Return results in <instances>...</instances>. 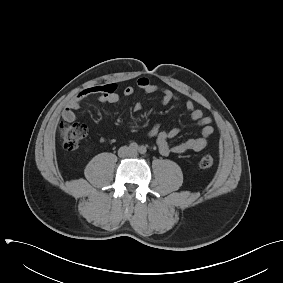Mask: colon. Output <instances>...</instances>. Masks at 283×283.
Wrapping results in <instances>:
<instances>
[{"label": "colon", "mask_w": 283, "mask_h": 283, "mask_svg": "<svg viewBox=\"0 0 283 283\" xmlns=\"http://www.w3.org/2000/svg\"><path fill=\"white\" fill-rule=\"evenodd\" d=\"M87 133V127L82 122H64L60 124L59 135L62 140V144L67 150L76 149L81 140ZM214 165V159L212 156L206 154L199 160V166L203 169L211 168Z\"/></svg>", "instance_id": "colon-1"}]
</instances>
